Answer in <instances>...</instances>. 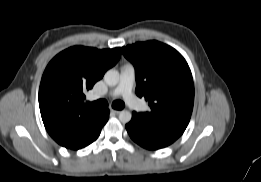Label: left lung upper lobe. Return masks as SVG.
Listing matches in <instances>:
<instances>
[{
  "mask_svg": "<svg viewBox=\"0 0 261 182\" xmlns=\"http://www.w3.org/2000/svg\"><path fill=\"white\" fill-rule=\"evenodd\" d=\"M122 52L135 67L136 94L151 108L135 113L147 125L183 133L194 103L193 79L183 56L158 41L127 45Z\"/></svg>",
  "mask_w": 261,
  "mask_h": 182,
  "instance_id": "obj_1",
  "label": "left lung upper lobe"
}]
</instances>
